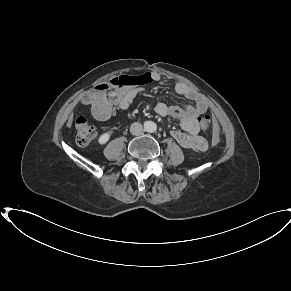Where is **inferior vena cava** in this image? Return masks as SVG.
<instances>
[{
  "label": "inferior vena cava",
  "mask_w": 291,
  "mask_h": 291,
  "mask_svg": "<svg viewBox=\"0 0 291 291\" xmlns=\"http://www.w3.org/2000/svg\"><path fill=\"white\" fill-rule=\"evenodd\" d=\"M130 132L133 135L139 136L143 133V126L142 124L135 122L130 127Z\"/></svg>",
  "instance_id": "inferior-vena-cava-1"
}]
</instances>
